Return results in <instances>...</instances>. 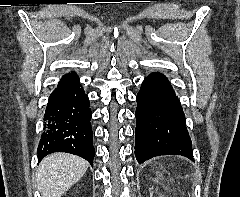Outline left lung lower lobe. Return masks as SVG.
<instances>
[{"label": "left lung lower lobe", "instance_id": "obj_1", "mask_svg": "<svg viewBox=\"0 0 240 197\" xmlns=\"http://www.w3.org/2000/svg\"><path fill=\"white\" fill-rule=\"evenodd\" d=\"M136 100L135 156L138 163L171 154L194 161L185 115L167 78L160 73L149 75Z\"/></svg>", "mask_w": 240, "mask_h": 197}]
</instances>
